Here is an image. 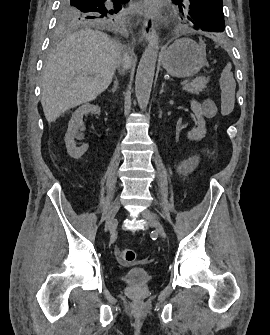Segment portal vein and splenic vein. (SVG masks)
Wrapping results in <instances>:
<instances>
[{"instance_id": "1", "label": "portal vein and splenic vein", "mask_w": 270, "mask_h": 335, "mask_svg": "<svg viewBox=\"0 0 270 335\" xmlns=\"http://www.w3.org/2000/svg\"><path fill=\"white\" fill-rule=\"evenodd\" d=\"M193 76H189L188 79H185V81H181L179 85L181 86H185V84L187 85L189 83V80L192 81L191 79H193Z\"/></svg>"}]
</instances>
